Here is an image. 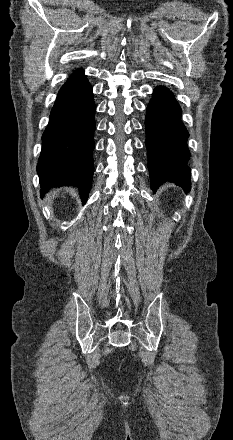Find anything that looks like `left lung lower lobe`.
<instances>
[{"instance_id": "left-lung-lower-lobe-1", "label": "left lung lower lobe", "mask_w": 233, "mask_h": 440, "mask_svg": "<svg viewBox=\"0 0 233 440\" xmlns=\"http://www.w3.org/2000/svg\"><path fill=\"white\" fill-rule=\"evenodd\" d=\"M181 108L172 92L159 86L147 106L145 128L151 188L170 181L190 190L189 133L181 122Z\"/></svg>"}]
</instances>
